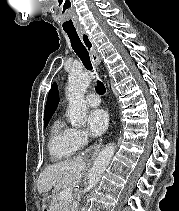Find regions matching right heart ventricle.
I'll return each instance as SVG.
<instances>
[{
	"instance_id": "obj_1",
	"label": "right heart ventricle",
	"mask_w": 179,
	"mask_h": 211,
	"mask_svg": "<svg viewBox=\"0 0 179 211\" xmlns=\"http://www.w3.org/2000/svg\"><path fill=\"white\" fill-rule=\"evenodd\" d=\"M71 128L57 118L50 129L48 150L52 160L62 161L70 158L76 151L71 140Z\"/></svg>"
}]
</instances>
